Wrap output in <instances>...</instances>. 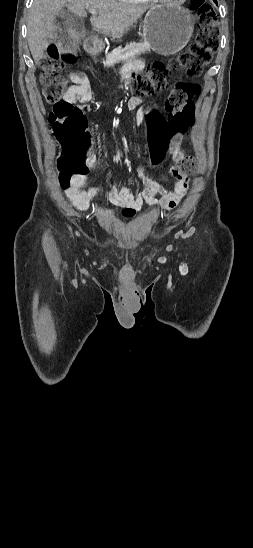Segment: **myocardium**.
Segmentation results:
<instances>
[{
    "label": "myocardium",
    "instance_id": "1",
    "mask_svg": "<svg viewBox=\"0 0 253 548\" xmlns=\"http://www.w3.org/2000/svg\"><path fill=\"white\" fill-rule=\"evenodd\" d=\"M150 1H157V2H164V3H166V2H172V1H174V0H150Z\"/></svg>",
    "mask_w": 253,
    "mask_h": 548
}]
</instances>
